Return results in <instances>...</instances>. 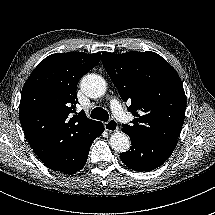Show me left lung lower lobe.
<instances>
[{"label":"left lung lower lobe","mask_w":215,"mask_h":215,"mask_svg":"<svg viewBox=\"0 0 215 215\" xmlns=\"http://www.w3.org/2000/svg\"><path fill=\"white\" fill-rule=\"evenodd\" d=\"M131 148L120 154L121 161L135 171H151L161 166L172 154L177 140H147L129 136Z\"/></svg>","instance_id":"obj_1"}]
</instances>
